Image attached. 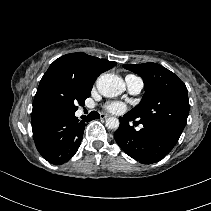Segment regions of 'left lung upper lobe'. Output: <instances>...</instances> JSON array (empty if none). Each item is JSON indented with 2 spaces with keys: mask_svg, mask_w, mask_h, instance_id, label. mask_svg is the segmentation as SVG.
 Instances as JSON below:
<instances>
[{
  "mask_svg": "<svg viewBox=\"0 0 211 211\" xmlns=\"http://www.w3.org/2000/svg\"><path fill=\"white\" fill-rule=\"evenodd\" d=\"M123 67L140 75L145 84L141 102L128 112L131 117L180 137L190 108L185 84L157 63L125 64Z\"/></svg>",
  "mask_w": 211,
  "mask_h": 211,
  "instance_id": "left-lung-upper-lobe-1",
  "label": "left lung upper lobe"
}]
</instances>
